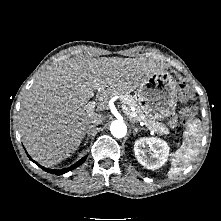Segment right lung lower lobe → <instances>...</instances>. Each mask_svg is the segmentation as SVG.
<instances>
[{"label":"right lung lower lobe","mask_w":221,"mask_h":221,"mask_svg":"<svg viewBox=\"0 0 221 221\" xmlns=\"http://www.w3.org/2000/svg\"><path fill=\"white\" fill-rule=\"evenodd\" d=\"M29 159L31 161H33L35 164H37L40 168H42L44 171L46 172H49V173H53V174H57V175H60V174H64L68 171H71L73 170L74 168L80 166L87 158V155L84 156L83 158H81L78 162H76L75 164H73L72 166L68 167V168H65V169H61V170H54V169H48V168H45L41 165H39L37 162H35L29 155H28Z\"/></svg>","instance_id":"right-lung-lower-lobe-1"}]
</instances>
